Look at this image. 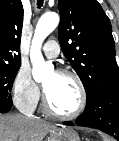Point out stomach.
Wrapping results in <instances>:
<instances>
[{
  "label": "stomach",
  "instance_id": "obj_1",
  "mask_svg": "<svg viewBox=\"0 0 119 141\" xmlns=\"http://www.w3.org/2000/svg\"><path fill=\"white\" fill-rule=\"evenodd\" d=\"M49 141H81L77 132L72 128L55 129L51 131Z\"/></svg>",
  "mask_w": 119,
  "mask_h": 141
}]
</instances>
